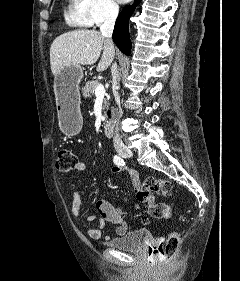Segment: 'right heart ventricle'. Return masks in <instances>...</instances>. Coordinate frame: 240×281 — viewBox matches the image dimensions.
Returning a JSON list of instances; mask_svg holds the SVG:
<instances>
[{"instance_id": "1", "label": "right heart ventricle", "mask_w": 240, "mask_h": 281, "mask_svg": "<svg viewBox=\"0 0 240 281\" xmlns=\"http://www.w3.org/2000/svg\"><path fill=\"white\" fill-rule=\"evenodd\" d=\"M89 0H68L64 10L66 24L73 28H87L93 25Z\"/></svg>"}]
</instances>
